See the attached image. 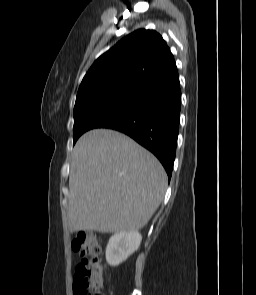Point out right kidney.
Returning <instances> with one entry per match:
<instances>
[{
    "label": "right kidney",
    "mask_w": 256,
    "mask_h": 295,
    "mask_svg": "<svg viewBox=\"0 0 256 295\" xmlns=\"http://www.w3.org/2000/svg\"><path fill=\"white\" fill-rule=\"evenodd\" d=\"M142 236L138 231L117 232L109 239L106 247V261L110 266H118L140 246Z\"/></svg>",
    "instance_id": "right-kidney-1"
}]
</instances>
